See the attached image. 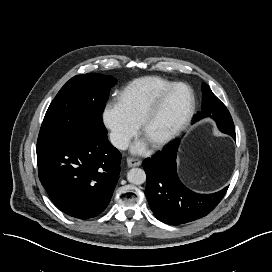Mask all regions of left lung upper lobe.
Segmentation results:
<instances>
[{"instance_id": "5c2ea615", "label": "left lung upper lobe", "mask_w": 272, "mask_h": 272, "mask_svg": "<svg viewBox=\"0 0 272 272\" xmlns=\"http://www.w3.org/2000/svg\"><path fill=\"white\" fill-rule=\"evenodd\" d=\"M202 111L195 116V120L204 117H212L216 122L220 117L229 116V111L226 106L213 94L209 86L205 83L202 84ZM229 128L235 129L233 122L230 123Z\"/></svg>"}]
</instances>
